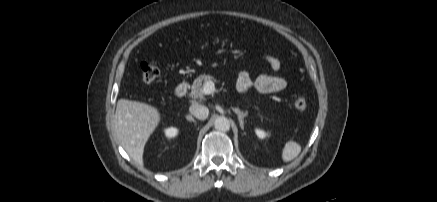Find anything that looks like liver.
Returning a JSON list of instances; mask_svg holds the SVG:
<instances>
[{"label": "liver", "instance_id": "6515ba94", "mask_svg": "<svg viewBox=\"0 0 437 202\" xmlns=\"http://www.w3.org/2000/svg\"><path fill=\"white\" fill-rule=\"evenodd\" d=\"M160 119V113L154 106L138 101L118 100L114 117L116 136L135 163L143 165L145 144Z\"/></svg>", "mask_w": 437, "mask_h": 202}]
</instances>
